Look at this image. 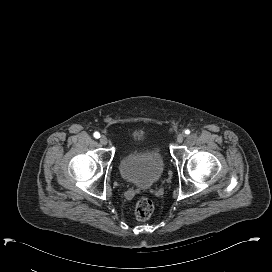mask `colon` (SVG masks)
Listing matches in <instances>:
<instances>
[{"mask_svg": "<svg viewBox=\"0 0 272 272\" xmlns=\"http://www.w3.org/2000/svg\"><path fill=\"white\" fill-rule=\"evenodd\" d=\"M154 210V204L152 200L144 194L139 195L134 204V213L137 219L146 220L150 218Z\"/></svg>", "mask_w": 272, "mask_h": 272, "instance_id": "obj_1", "label": "colon"}]
</instances>
